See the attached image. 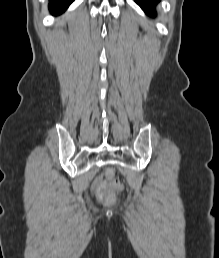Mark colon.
Segmentation results:
<instances>
[{
	"instance_id": "obj_1",
	"label": "colon",
	"mask_w": 219,
	"mask_h": 258,
	"mask_svg": "<svg viewBox=\"0 0 219 258\" xmlns=\"http://www.w3.org/2000/svg\"><path fill=\"white\" fill-rule=\"evenodd\" d=\"M123 188V184L115 177V170L113 168H108L105 171V180L98 178L92 186V190L97 197L109 205L115 202V191L123 190Z\"/></svg>"
}]
</instances>
